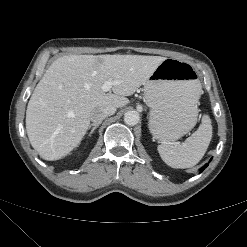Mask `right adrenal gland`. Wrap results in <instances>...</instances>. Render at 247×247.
<instances>
[{
    "mask_svg": "<svg viewBox=\"0 0 247 247\" xmlns=\"http://www.w3.org/2000/svg\"><path fill=\"white\" fill-rule=\"evenodd\" d=\"M101 123H92L90 126H89V129L90 130V133H89V137H91V135L93 134V132L96 130V128L100 125Z\"/></svg>",
    "mask_w": 247,
    "mask_h": 247,
    "instance_id": "right-adrenal-gland-1",
    "label": "right adrenal gland"
}]
</instances>
